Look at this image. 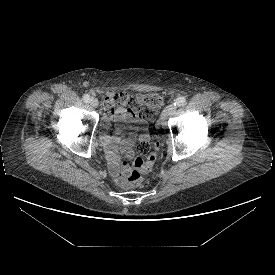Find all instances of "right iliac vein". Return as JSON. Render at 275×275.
Here are the masks:
<instances>
[{"label": "right iliac vein", "instance_id": "63e3f726", "mask_svg": "<svg viewBox=\"0 0 275 275\" xmlns=\"http://www.w3.org/2000/svg\"><path fill=\"white\" fill-rule=\"evenodd\" d=\"M89 103L92 107H97L98 106V100L96 98H91Z\"/></svg>", "mask_w": 275, "mask_h": 275}]
</instances>
